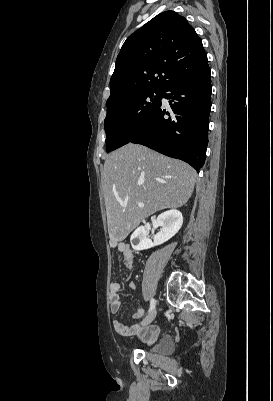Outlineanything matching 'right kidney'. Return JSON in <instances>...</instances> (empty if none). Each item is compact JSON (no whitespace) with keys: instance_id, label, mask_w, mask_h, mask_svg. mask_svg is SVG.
<instances>
[{"instance_id":"ca27d5eb","label":"right kidney","mask_w":273,"mask_h":401,"mask_svg":"<svg viewBox=\"0 0 273 401\" xmlns=\"http://www.w3.org/2000/svg\"><path fill=\"white\" fill-rule=\"evenodd\" d=\"M158 227H162L159 233L155 235L154 241L152 243L151 239L147 237V231L145 227H138L131 235L130 243L134 251H144V249H151V247H156V245H162L166 243L169 239H172L179 229L183 225V217L180 211L176 209H171V211H165L157 217Z\"/></svg>"}]
</instances>
